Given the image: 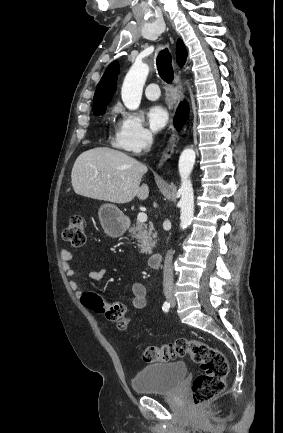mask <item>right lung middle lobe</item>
<instances>
[{
  "instance_id": "1",
  "label": "right lung middle lobe",
  "mask_w": 283,
  "mask_h": 433,
  "mask_svg": "<svg viewBox=\"0 0 283 433\" xmlns=\"http://www.w3.org/2000/svg\"><path fill=\"white\" fill-rule=\"evenodd\" d=\"M106 111V107H101L99 109H96L93 111L94 115H102L104 114Z\"/></svg>"
}]
</instances>
